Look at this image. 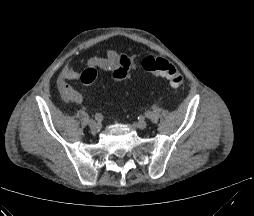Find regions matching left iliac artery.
<instances>
[{"mask_svg":"<svg viewBox=\"0 0 254 216\" xmlns=\"http://www.w3.org/2000/svg\"><path fill=\"white\" fill-rule=\"evenodd\" d=\"M145 117H146L147 119H152L153 113H152L151 111H147V112H145Z\"/></svg>","mask_w":254,"mask_h":216,"instance_id":"obj_1","label":"left iliac artery"}]
</instances>
